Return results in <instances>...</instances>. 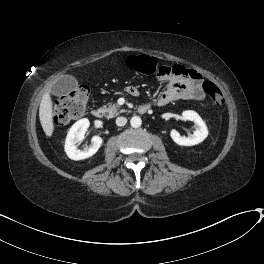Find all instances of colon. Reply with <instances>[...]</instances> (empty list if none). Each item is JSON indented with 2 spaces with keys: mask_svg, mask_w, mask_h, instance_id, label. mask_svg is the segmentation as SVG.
Masks as SVG:
<instances>
[{
  "mask_svg": "<svg viewBox=\"0 0 264 264\" xmlns=\"http://www.w3.org/2000/svg\"><path fill=\"white\" fill-rule=\"evenodd\" d=\"M129 69L146 75H156L160 78L170 75L172 69L169 66L160 65L150 56H129L126 60ZM203 91L208 100L214 106L223 103V95L220 88L212 81L203 83ZM90 90L86 85H79L70 94L55 104L54 114L59 124L68 123L70 120L81 117L89 101Z\"/></svg>",
  "mask_w": 264,
  "mask_h": 264,
  "instance_id": "colon-1",
  "label": "colon"
}]
</instances>
